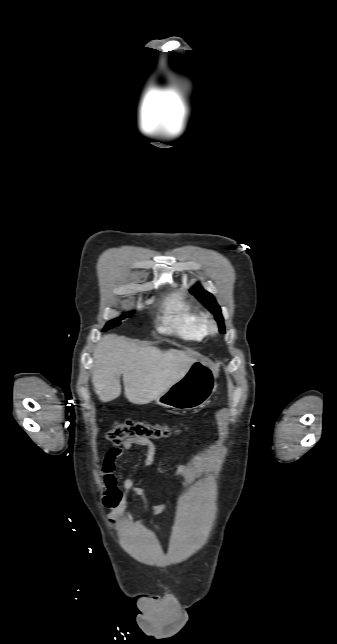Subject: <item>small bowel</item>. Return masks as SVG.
I'll return each instance as SVG.
<instances>
[{
  "label": "small bowel",
  "mask_w": 337,
  "mask_h": 644,
  "mask_svg": "<svg viewBox=\"0 0 337 644\" xmlns=\"http://www.w3.org/2000/svg\"><path fill=\"white\" fill-rule=\"evenodd\" d=\"M134 445H139L146 448V454L141 468V472H142L147 468H149L154 463V460H155L156 447L149 439H139V438L127 439L124 441L122 447H115L110 449L107 452L104 459V463L102 467V473H103L102 483L104 487L103 504L113 509V512L111 513L110 519H109V525L113 528L116 526V522L119 520L121 515V511L123 507L124 492H134L142 496L144 499V502H145L144 510L134 520L142 519L143 517H145V515L148 512H151V511L161 512V511L168 510L167 506L165 505H161L156 508L151 507L148 503L147 495L144 493L142 489H140L136 485L135 477H128L123 481L122 483L123 490H121L118 487V481L114 474L116 461L120 459L122 456H124V454L127 452L130 453L131 457H134V454L132 452V447ZM183 470H184L183 464L178 463V478H177L178 481L181 478ZM154 529L158 531L161 529V527L159 525H155Z\"/></svg>",
  "instance_id": "c3829d8e"
}]
</instances>
